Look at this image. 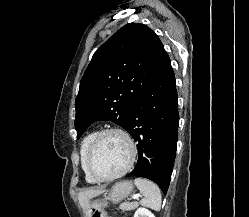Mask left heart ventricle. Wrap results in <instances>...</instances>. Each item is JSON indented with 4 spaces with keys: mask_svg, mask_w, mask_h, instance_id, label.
<instances>
[{
    "mask_svg": "<svg viewBox=\"0 0 249 217\" xmlns=\"http://www.w3.org/2000/svg\"><path fill=\"white\" fill-rule=\"evenodd\" d=\"M129 156L130 149L126 140L119 134H108L97 144L91 167L98 176H111L126 166Z\"/></svg>",
    "mask_w": 249,
    "mask_h": 217,
    "instance_id": "left-heart-ventricle-1",
    "label": "left heart ventricle"
}]
</instances>
